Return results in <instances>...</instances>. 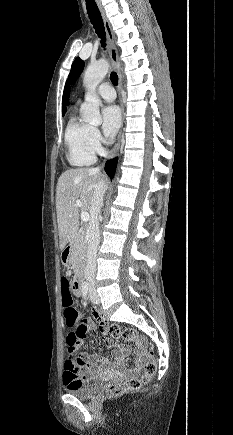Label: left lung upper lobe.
<instances>
[{
  "label": "left lung upper lobe",
  "instance_id": "obj_1",
  "mask_svg": "<svg viewBox=\"0 0 233 435\" xmlns=\"http://www.w3.org/2000/svg\"><path fill=\"white\" fill-rule=\"evenodd\" d=\"M84 68V62L78 57L74 60L70 74L68 76V80L70 83H74L76 79L79 77L80 73L82 72Z\"/></svg>",
  "mask_w": 233,
  "mask_h": 435
}]
</instances>
